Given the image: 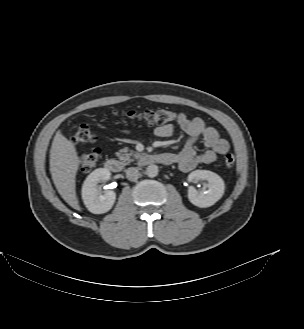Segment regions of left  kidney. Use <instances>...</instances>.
<instances>
[{"label": "left kidney", "mask_w": 304, "mask_h": 329, "mask_svg": "<svg viewBox=\"0 0 304 329\" xmlns=\"http://www.w3.org/2000/svg\"><path fill=\"white\" fill-rule=\"evenodd\" d=\"M200 180H206L207 192L199 193L194 187H189V201L200 208H206L214 205L224 194L225 184L223 179L216 173L208 170H195L188 175V181L197 183Z\"/></svg>", "instance_id": "obj_1"}]
</instances>
